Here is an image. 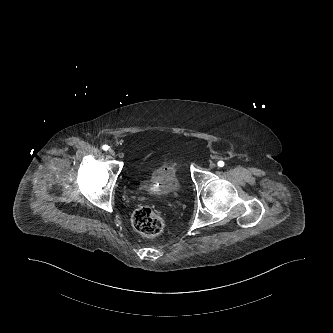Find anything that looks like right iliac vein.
<instances>
[{"mask_svg": "<svg viewBox=\"0 0 333 333\" xmlns=\"http://www.w3.org/2000/svg\"><path fill=\"white\" fill-rule=\"evenodd\" d=\"M109 154L114 156L115 155V151L113 149H109Z\"/></svg>", "mask_w": 333, "mask_h": 333, "instance_id": "right-iliac-vein-1", "label": "right iliac vein"}]
</instances>
